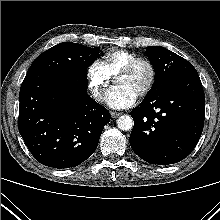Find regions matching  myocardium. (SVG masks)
<instances>
[{
    "label": "myocardium",
    "instance_id": "obj_1",
    "mask_svg": "<svg viewBox=\"0 0 220 220\" xmlns=\"http://www.w3.org/2000/svg\"><path fill=\"white\" fill-rule=\"evenodd\" d=\"M145 64L149 69V79L146 83V85L142 88V90L139 92L138 96L140 98L145 97L154 87L156 82V68L153 62L145 57H137L133 60H131L129 63H127L118 74H127L135 70V68L140 65Z\"/></svg>",
    "mask_w": 220,
    "mask_h": 220
}]
</instances>
